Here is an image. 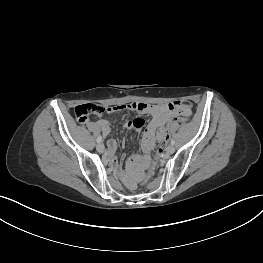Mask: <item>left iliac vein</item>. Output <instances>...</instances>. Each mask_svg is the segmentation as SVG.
<instances>
[{
  "instance_id": "left-iliac-vein-1",
  "label": "left iliac vein",
  "mask_w": 263,
  "mask_h": 263,
  "mask_svg": "<svg viewBox=\"0 0 263 263\" xmlns=\"http://www.w3.org/2000/svg\"><path fill=\"white\" fill-rule=\"evenodd\" d=\"M175 151V148L173 145H169L167 148H166V153L167 154H173Z\"/></svg>"
}]
</instances>
